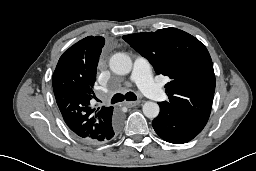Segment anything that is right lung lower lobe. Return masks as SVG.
I'll return each mask as SVG.
<instances>
[{
  "label": "right lung lower lobe",
  "instance_id": "98d812e1",
  "mask_svg": "<svg viewBox=\"0 0 256 171\" xmlns=\"http://www.w3.org/2000/svg\"><path fill=\"white\" fill-rule=\"evenodd\" d=\"M121 126V117L118 114H114L107 126V131L97 140H85L92 144L105 143L110 140L120 129Z\"/></svg>",
  "mask_w": 256,
  "mask_h": 171
}]
</instances>
